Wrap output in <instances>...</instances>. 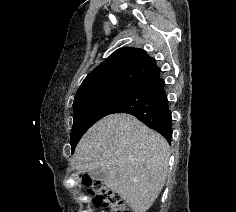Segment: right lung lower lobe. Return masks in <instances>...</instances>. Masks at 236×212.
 Returning a JSON list of instances; mask_svg holds the SVG:
<instances>
[{
    "mask_svg": "<svg viewBox=\"0 0 236 212\" xmlns=\"http://www.w3.org/2000/svg\"><path fill=\"white\" fill-rule=\"evenodd\" d=\"M113 113L132 114L171 142L172 118L159 68L142 78Z\"/></svg>",
    "mask_w": 236,
    "mask_h": 212,
    "instance_id": "obj_1",
    "label": "right lung lower lobe"
}]
</instances>
